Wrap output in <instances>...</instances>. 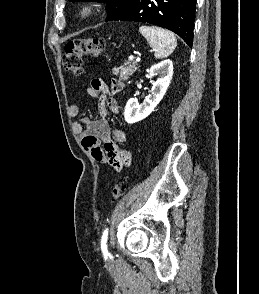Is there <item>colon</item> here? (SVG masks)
Wrapping results in <instances>:
<instances>
[{"mask_svg": "<svg viewBox=\"0 0 259 294\" xmlns=\"http://www.w3.org/2000/svg\"><path fill=\"white\" fill-rule=\"evenodd\" d=\"M105 48L102 38H82L69 41L64 47L63 67L73 75L83 72V56H98ZM126 190V182L121 180L112 188V198L118 200Z\"/></svg>", "mask_w": 259, "mask_h": 294, "instance_id": "obj_1", "label": "colon"}]
</instances>
